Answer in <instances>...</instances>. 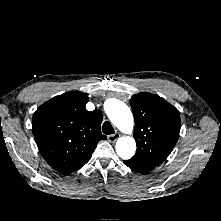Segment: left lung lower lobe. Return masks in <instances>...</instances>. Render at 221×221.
Here are the masks:
<instances>
[{
	"label": "left lung lower lobe",
	"instance_id": "obj_1",
	"mask_svg": "<svg viewBox=\"0 0 221 221\" xmlns=\"http://www.w3.org/2000/svg\"><path fill=\"white\" fill-rule=\"evenodd\" d=\"M124 164L126 166H128L129 168H131L132 170H134L138 173H141V174L149 172V171H151L155 168L154 166L144 164V163H140V162H136L132 159H129L128 161H124Z\"/></svg>",
	"mask_w": 221,
	"mask_h": 221
}]
</instances>
